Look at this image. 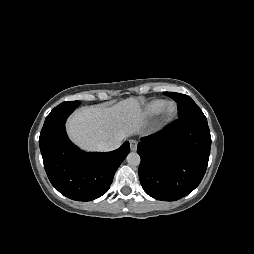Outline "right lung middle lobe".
I'll list each match as a JSON object with an SVG mask.
<instances>
[{
  "instance_id": "dd1d6c3e",
  "label": "right lung middle lobe",
  "mask_w": 254,
  "mask_h": 254,
  "mask_svg": "<svg viewBox=\"0 0 254 254\" xmlns=\"http://www.w3.org/2000/svg\"><path fill=\"white\" fill-rule=\"evenodd\" d=\"M63 103H69V104H77V105H79V101H70V102H63Z\"/></svg>"
}]
</instances>
